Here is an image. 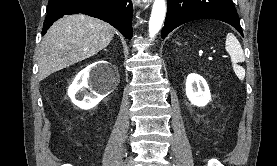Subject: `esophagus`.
Segmentation results:
<instances>
[{
    "instance_id": "1",
    "label": "esophagus",
    "mask_w": 277,
    "mask_h": 166,
    "mask_svg": "<svg viewBox=\"0 0 277 166\" xmlns=\"http://www.w3.org/2000/svg\"><path fill=\"white\" fill-rule=\"evenodd\" d=\"M152 0H133L134 5L136 6H149Z\"/></svg>"
}]
</instances>
